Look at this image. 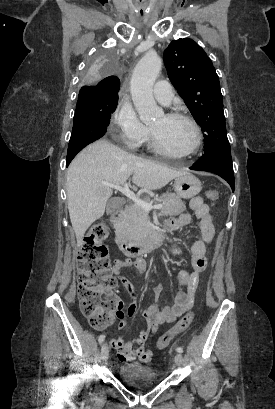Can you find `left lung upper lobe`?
<instances>
[{
	"label": "left lung upper lobe",
	"mask_w": 275,
	"mask_h": 409,
	"mask_svg": "<svg viewBox=\"0 0 275 409\" xmlns=\"http://www.w3.org/2000/svg\"><path fill=\"white\" fill-rule=\"evenodd\" d=\"M163 59L171 83L205 132L204 154L230 147L219 78L205 51L192 39H178Z\"/></svg>",
	"instance_id": "5c2ea615"
}]
</instances>
